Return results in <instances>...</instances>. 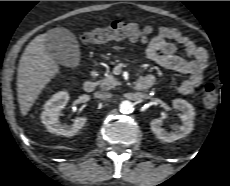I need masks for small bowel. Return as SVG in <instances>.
I'll list each match as a JSON object with an SVG mask.
<instances>
[{
  "label": "small bowel",
  "mask_w": 230,
  "mask_h": 186,
  "mask_svg": "<svg viewBox=\"0 0 230 186\" xmlns=\"http://www.w3.org/2000/svg\"><path fill=\"white\" fill-rule=\"evenodd\" d=\"M176 45L184 48L188 59L176 54ZM146 53L150 59L162 67L188 75L185 80L176 86L179 93L189 95L202 83L208 66V54L179 29L170 26L160 27L147 45ZM145 77L154 81L152 75L142 76L141 78Z\"/></svg>",
  "instance_id": "obj_1"
}]
</instances>
